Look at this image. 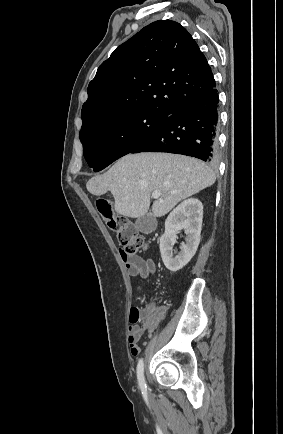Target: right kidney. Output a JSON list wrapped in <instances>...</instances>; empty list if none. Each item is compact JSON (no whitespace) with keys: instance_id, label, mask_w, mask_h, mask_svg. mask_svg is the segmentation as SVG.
Returning a JSON list of instances; mask_svg holds the SVG:
<instances>
[{"instance_id":"right-kidney-1","label":"right kidney","mask_w":283,"mask_h":434,"mask_svg":"<svg viewBox=\"0 0 283 434\" xmlns=\"http://www.w3.org/2000/svg\"><path fill=\"white\" fill-rule=\"evenodd\" d=\"M203 218V205L195 198L179 204L165 221V233L160 239V252L164 265L172 272L182 269L195 255L199 242ZM184 229L186 243H181L180 251L173 256L172 248L176 233Z\"/></svg>"}]
</instances>
